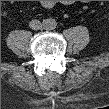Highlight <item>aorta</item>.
Segmentation results:
<instances>
[{"mask_svg": "<svg viewBox=\"0 0 109 109\" xmlns=\"http://www.w3.org/2000/svg\"><path fill=\"white\" fill-rule=\"evenodd\" d=\"M57 26V22L55 19L48 18L44 21V28L47 30H53Z\"/></svg>", "mask_w": 109, "mask_h": 109, "instance_id": "obj_1", "label": "aorta"}]
</instances>
